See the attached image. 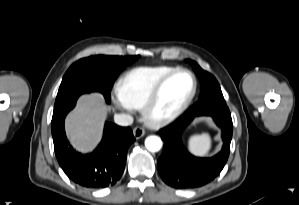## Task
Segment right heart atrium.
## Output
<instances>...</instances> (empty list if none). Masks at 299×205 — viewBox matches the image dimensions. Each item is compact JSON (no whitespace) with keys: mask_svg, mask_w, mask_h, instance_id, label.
I'll use <instances>...</instances> for the list:
<instances>
[{"mask_svg":"<svg viewBox=\"0 0 299 205\" xmlns=\"http://www.w3.org/2000/svg\"><path fill=\"white\" fill-rule=\"evenodd\" d=\"M113 103L118 107V108H126L127 106H125L122 101L120 100L117 92L114 94V96L112 97Z\"/></svg>","mask_w":299,"mask_h":205,"instance_id":"d8ad5b80","label":"right heart atrium"}]
</instances>
